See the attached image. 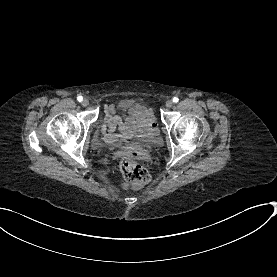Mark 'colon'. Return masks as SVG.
<instances>
[{
    "instance_id": "5ec220e1",
    "label": "colon",
    "mask_w": 277,
    "mask_h": 277,
    "mask_svg": "<svg viewBox=\"0 0 277 277\" xmlns=\"http://www.w3.org/2000/svg\"><path fill=\"white\" fill-rule=\"evenodd\" d=\"M124 178V186L128 188H137L143 186L150 189L156 185L157 179L153 173L148 172L143 167L132 161H123L120 170Z\"/></svg>"
}]
</instances>
